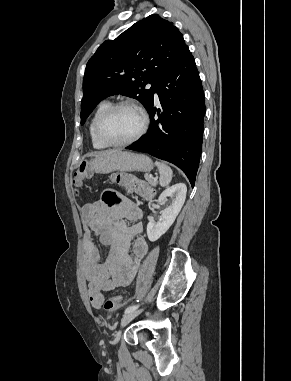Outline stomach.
Returning <instances> with one entry per match:
<instances>
[{"label":"stomach","mask_w":291,"mask_h":381,"mask_svg":"<svg viewBox=\"0 0 291 381\" xmlns=\"http://www.w3.org/2000/svg\"><path fill=\"white\" fill-rule=\"evenodd\" d=\"M92 172L108 174L113 171H143L153 169L152 160L143 154L118 151L111 154L96 156L88 163Z\"/></svg>","instance_id":"0dacf381"}]
</instances>
